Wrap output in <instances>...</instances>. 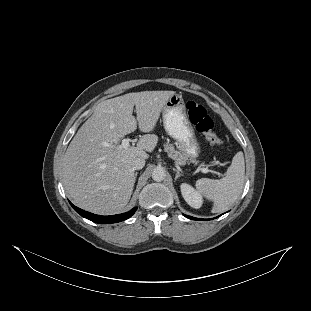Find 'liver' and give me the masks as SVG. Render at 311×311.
Listing matches in <instances>:
<instances>
[{"instance_id":"liver-1","label":"liver","mask_w":311,"mask_h":311,"mask_svg":"<svg viewBox=\"0 0 311 311\" xmlns=\"http://www.w3.org/2000/svg\"><path fill=\"white\" fill-rule=\"evenodd\" d=\"M175 93L131 92L96 106L70 142L62 161L63 184L78 207L107 215L128 204L136 180L131 162L136 157L148 159L147 152L157 146L158 136L149 132ZM137 127L146 134L136 146L123 149L120 140Z\"/></svg>"}]
</instances>
